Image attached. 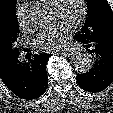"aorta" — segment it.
Returning a JSON list of instances; mask_svg holds the SVG:
<instances>
[{
    "label": "aorta",
    "instance_id": "obj_1",
    "mask_svg": "<svg viewBox=\"0 0 113 113\" xmlns=\"http://www.w3.org/2000/svg\"><path fill=\"white\" fill-rule=\"evenodd\" d=\"M33 16L40 22L45 23L49 20V13L47 10L38 7L34 9ZM94 64V58L90 54L79 53L74 57L73 67L79 73L88 72Z\"/></svg>",
    "mask_w": 113,
    "mask_h": 113
}]
</instances>
